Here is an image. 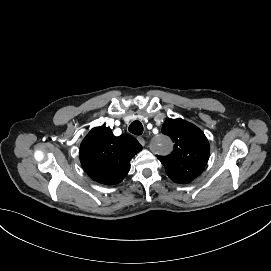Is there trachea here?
<instances>
[{"label": "trachea", "instance_id": "1", "mask_svg": "<svg viewBox=\"0 0 271 271\" xmlns=\"http://www.w3.org/2000/svg\"><path fill=\"white\" fill-rule=\"evenodd\" d=\"M129 131L134 135H141L143 133V125L140 121H133L129 126Z\"/></svg>", "mask_w": 271, "mask_h": 271}]
</instances>
